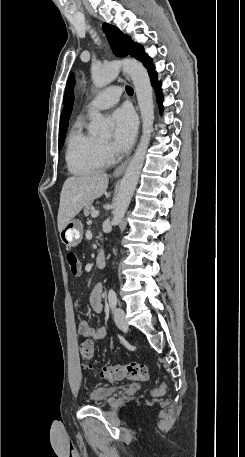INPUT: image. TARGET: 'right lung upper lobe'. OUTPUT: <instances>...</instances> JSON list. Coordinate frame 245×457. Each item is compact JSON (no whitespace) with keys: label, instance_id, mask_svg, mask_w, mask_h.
<instances>
[{"label":"right lung upper lobe","instance_id":"cb5924a9","mask_svg":"<svg viewBox=\"0 0 245 457\" xmlns=\"http://www.w3.org/2000/svg\"><path fill=\"white\" fill-rule=\"evenodd\" d=\"M73 102H74V94H71V97L69 98V101L67 102L66 106L64 107L62 114H61V119H60V128H65L68 127V121L72 112L73 108Z\"/></svg>","mask_w":245,"mask_h":457}]
</instances>
